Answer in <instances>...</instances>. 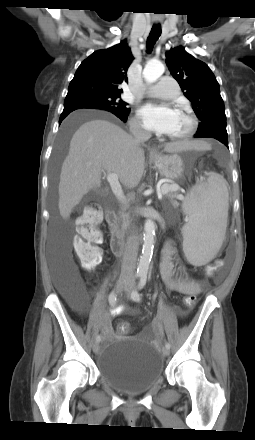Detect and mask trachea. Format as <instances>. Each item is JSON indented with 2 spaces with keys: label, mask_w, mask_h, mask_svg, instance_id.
Here are the masks:
<instances>
[{
  "label": "trachea",
  "mask_w": 255,
  "mask_h": 440,
  "mask_svg": "<svg viewBox=\"0 0 255 440\" xmlns=\"http://www.w3.org/2000/svg\"><path fill=\"white\" fill-rule=\"evenodd\" d=\"M160 35H161V26H160V24H156V25L154 24L152 26L151 32H150L148 40H147L148 52H150L152 50L153 45L158 40Z\"/></svg>",
  "instance_id": "1"
}]
</instances>
